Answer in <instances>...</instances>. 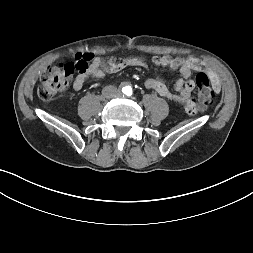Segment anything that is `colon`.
Masks as SVG:
<instances>
[{
	"mask_svg": "<svg viewBox=\"0 0 253 253\" xmlns=\"http://www.w3.org/2000/svg\"><path fill=\"white\" fill-rule=\"evenodd\" d=\"M92 58L91 54H81L73 62L60 63L47 69L41 76L37 89L39 98L49 100L64 90L75 74H84L88 70ZM195 83L199 90L198 101L201 103V108L207 107L211 99V83L208 76L200 71Z\"/></svg>",
	"mask_w": 253,
	"mask_h": 253,
	"instance_id": "1",
	"label": "colon"
}]
</instances>
